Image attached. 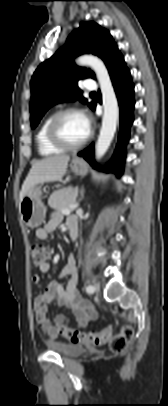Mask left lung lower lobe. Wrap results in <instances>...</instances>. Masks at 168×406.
I'll list each match as a JSON object with an SVG mask.
<instances>
[{"label":"left lung lower lobe","mask_w":168,"mask_h":406,"mask_svg":"<svg viewBox=\"0 0 168 406\" xmlns=\"http://www.w3.org/2000/svg\"><path fill=\"white\" fill-rule=\"evenodd\" d=\"M120 107V132L118 143L112 159L106 165L107 172L112 171L121 175L124 167L125 148L129 139L130 126L133 123L134 109V85L131 80V74L126 67L124 57L119 52L107 66ZM96 105L93 107L95 109ZM78 156L85 158L93 167L94 162L93 144L78 153Z\"/></svg>","instance_id":"left-lung-lower-lobe-1"}]
</instances>
